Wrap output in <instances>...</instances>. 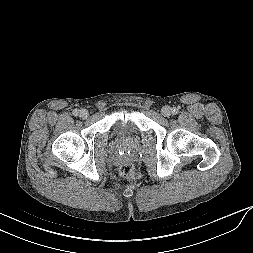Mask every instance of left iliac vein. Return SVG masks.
I'll list each match as a JSON object with an SVG mask.
<instances>
[{
    "label": "left iliac vein",
    "instance_id": "left-iliac-vein-1",
    "mask_svg": "<svg viewBox=\"0 0 253 253\" xmlns=\"http://www.w3.org/2000/svg\"><path fill=\"white\" fill-rule=\"evenodd\" d=\"M161 113L164 117H169L172 113V109L169 106H164L161 109Z\"/></svg>",
    "mask_w": 253,
    "mask_h": 253
}]
</instances>
